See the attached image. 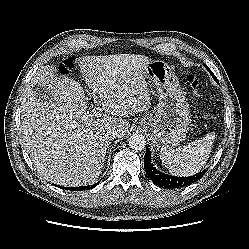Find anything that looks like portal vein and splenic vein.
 Segmentation results:
<instances>
[{"mask_svg":"<svg viewBox=\"0 0 249 249\" xmlns=\"http://www.w3.org/2000/svg\"><path fill=\"white\" fill-rule=\"evenodd\" d=\"M92 96H93V101H94V103L97 104V107H95V108L93 109V113H94L95 116H100V115H101V111H102V110H101V107H100L98 101L96 100L95 95L93 94Z\"/></svg>","mask_w":249,"mask_h":249,"instance_id":"portal-vein-and-splenic-vein-1","label":"portal vein and splenic vein"}]
</instances>
